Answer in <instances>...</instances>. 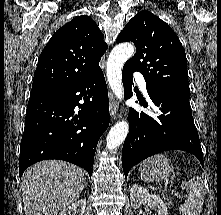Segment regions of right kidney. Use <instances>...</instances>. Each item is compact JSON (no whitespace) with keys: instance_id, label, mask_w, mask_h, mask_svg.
I'll return each mask as SVG.
<instances>
[{"instance_id":"obj_1","label":"right kidney","mask_w":221,"mask_h":215,"mask_svg":"<svg viewBox=\"0 0 221 215\" xmlns=\"http://www.w3.org/2000/svg\"><path fill=\"white\" fill-rule=\"evenodd\" d=\"M85 208L86 200L80 199L61 211L59 215H83Z\"/></svg>"}]
</instances>
